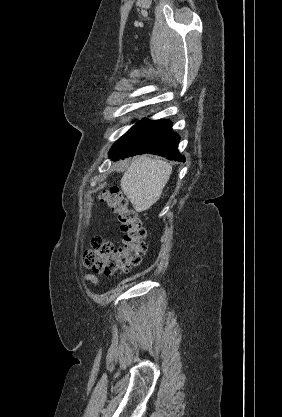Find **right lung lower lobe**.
Wrapping results in <instances>:
<instances>
[{
	"instance_id": "98d812e1",
	"label": "right lung lower lobe",
	"mask_w": 282,
	"mask_h": 417,
	"mask_svg": "<svg viewBox=\"0 0 282 417\" xmlns=\"http://www.w3.org/2000/svg\"><path fill=\"white\" fill-rule=\"evenodd\" d=\"M180 137L171 130L169 120L144 119L133 126L111 148L110 158L123 159L137 154H157L170 160L185 161L177 150Z\"/></svg>"
}]
</instances>
